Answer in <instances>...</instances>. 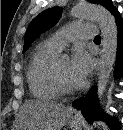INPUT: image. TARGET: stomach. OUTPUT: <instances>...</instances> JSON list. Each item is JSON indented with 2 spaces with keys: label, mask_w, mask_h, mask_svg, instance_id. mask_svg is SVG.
Masks as SVG:
<instances>
[{
  "label": "stomach",
  "mask_w": 123,
  "mask_h": 130,
  "mask_svg": "<svg viewBox=\"0 0 123 130\" xmlns=\"http://www.w3.org/2000/svg\"><path fill=\"white\" fill-rule=\"evenodd\" d=\"M69 123H70V128L72 130H81L82 128V123L78 120H74L73 118H71Z\"/></svg>",
  "instance_id": "stomach-1"
}]
</instances>
